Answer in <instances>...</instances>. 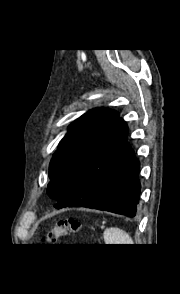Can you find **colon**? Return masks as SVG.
I'll list each match as a JSON object with an SVG mask.
<instances>
[{
    "mask_svg": "<svg viewBox=\"0 0 180 294\" xmlns=\"http://www.w3.org/2000/svg\"><path fill=\"white\" fill-rule=\"evenodd\" d=\"M81 228V224L74 218H65L55 222L47 233V239L50 243H57V241L68 234L77 233Z\"/></svg>",
    "mask_w": 180,
    "mask_h": 294,
    "instance_id": "1",
    "label": "colon"
}]
</instances>
